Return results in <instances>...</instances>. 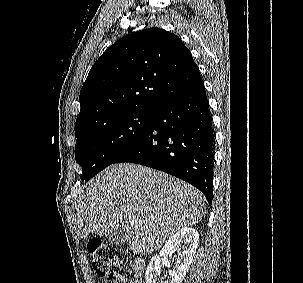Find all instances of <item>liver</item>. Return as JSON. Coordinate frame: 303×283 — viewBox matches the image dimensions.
<instances>
[{"mask_svg": "<svg viewBox=\"0 0 303 283\" xmlns=\"http://www.w3.org/2000/svg\"><path fill=\"white\" fill-rule=\"evenodd\" d=\"M73 224L80 238L110 236L125 219L123 242L151 254L182 228L202 220L204 195L166 173L131 163L113 164L74 191Z\"/></svg>", "mask_w": 303, "mask_h": 283, "instance_id": "obj_1", "label": "liver"}]
</instances>
